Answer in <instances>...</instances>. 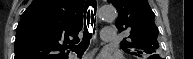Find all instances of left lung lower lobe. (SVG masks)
<instances>
[{
    "label": "left lung lower lobe",
    "mask_w": 193,
    "mask_h": 59,
    "mask_svg": "<svg viewBox=\"0 0 193 59\" xmlns=\"http://www.w3.org/2000/svg\"><path fill=\"white\" fill-rule=\"evenodd\" d=\"M149 59H160V57L159 56L154 57V55H153V56L149 57Z\"/></svg>",
    "instance_id": "1"
}]
</instances>
